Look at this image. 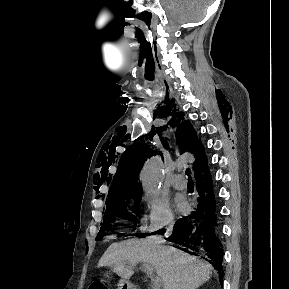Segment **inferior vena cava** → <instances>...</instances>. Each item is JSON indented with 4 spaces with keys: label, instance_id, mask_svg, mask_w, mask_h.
Masks as SVG:
<instances>
[{
    "label": "inferior vena cava",
    "instance_id": "1",
    "mask_svg": "<svg viewBox=\"0 0 289 289\" xmlns=\"http://www.w3.org/2000/svg\"><path fill=\"white\" fill-rule=\"evenodd\" d=\"M171 231H172V225L169 226L167 234H169ZM165 289H168L167 285L165 286Z\"/></svg>",
    "mask_w": 289,
    "mask_h": 289
}]
</instances>
